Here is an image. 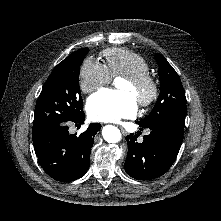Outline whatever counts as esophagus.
<instances>
[{
	"label": "esophagus",
	"instance_id": "1",
	"mask_svg": "<svg viewBox=\"0 0 221 221\" xmlns=\"http://www.w3.org/2000/svg\"><path fill=\"white\" fill-rule=\"evenodd\" d=\"M118 127H119V129L121 130V132H122L123 135H126V134H127V132L125 131V129H124L122 126H118Z\"/></svg>",
	"mask_w": 221,
	"mask_h": 221
}]
</instances>
